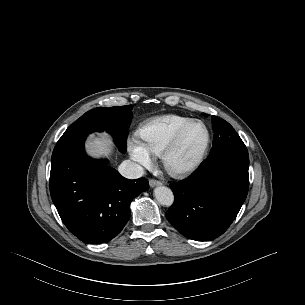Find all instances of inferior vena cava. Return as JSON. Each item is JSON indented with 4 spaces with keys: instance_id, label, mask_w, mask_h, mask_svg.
<instances>
[{
    "instance_id": "inferior-vena-cava-1",
    "label": "inferior vena cava",
    "mask_w": 305,
    "mask_h": 305,
    "mask_svg": "<svg viewBox=\"0 0 305 305\" xmlns=\"http://www.w3.org/2000/svg\"><path fill=\"white\" fill-rule=\"evenodd\" d=\"M118 170L122 176L128 179H137L144 175L143 167L130 160L123 161Z\"/></svg>"
}]
</instances>
